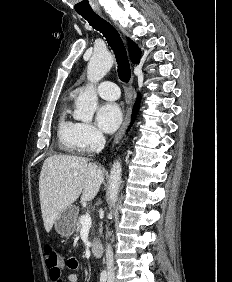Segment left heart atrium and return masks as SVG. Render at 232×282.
<instances>
[{"instance_id":"left-heart-atrium-1","label":"left heart atrium","mask_w":232,"mask_h":282,"mask_svg":"<svg viewBox=\"0 0 232 282\" xmlns=\"http://www.w3.org/2000/svg\"><path fill=\"white\" fill-rule=\"evenodd\" d=\"M96 119L104 132L112 133L122 122V111L116 103H104L98 108Z\"/></svg>"}]
</instances>
